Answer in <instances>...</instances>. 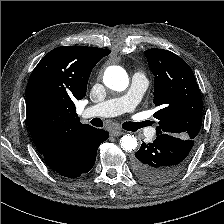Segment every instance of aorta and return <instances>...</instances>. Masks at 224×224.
I'll return each mask as SVG.
<instances>
[{
    "mask_svg": "<svg viewBox=\"0 0 224 224\" xmlns=\"http://www.w3.org/2000/svg\"><path fill=\"white\" fill-rule=\"evenodd\" d=\"M107 87L115 91H123L127 88L129 79L126 71L120 66H109L103 76ZM121 148L124 151L132 152L137 147V138L134 135L126 134L120 140Z\"/></svg>",
    "mask_w": 224,
    "mask_h": 224,
    "instance_id": "1",
    "label": "aorta"
}]
</instances>
